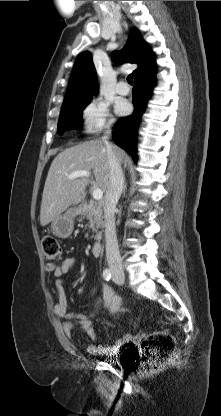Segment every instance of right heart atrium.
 I'll return each mask as SVG.
<instances>
[{"label": "right heart atrium", "instance_id": "d8ad5b80", "mask_svg": "<svg viewBox=\"0 0 221 416\" xmlns=\"http://www.w3.org/2000/svg\"><path fill=\"white\" fill-rule=\"evenodd\" d=\"M83 129L88 133H96L114 125L109 105L99 98L91 99L82 110Z\"/></svg>", "mask_w": 221, "mask_h": 416}]
</instances>
